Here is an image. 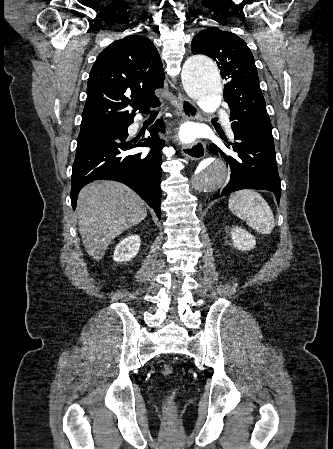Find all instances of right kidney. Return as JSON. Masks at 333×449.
I'll return each instance as SVG.
<instances>
[{"label": "right kidney", "mask_w": 333, "mask_h": 449, "mask_svg": "<svg viewBox=\"0 0 333 449\" xmlns=\"http://www.w3.org/2000/svg\"><path fill=\"white\" fill-rule=\"evenodd\" d=\"M140 236L130 235L124 238L115 248L113 259L117 262H125L133 259L140 248Z\"/></svg>", "instance_id": "1"}]
</instances>
